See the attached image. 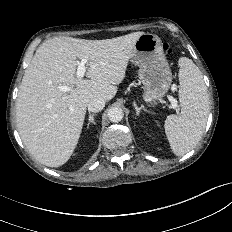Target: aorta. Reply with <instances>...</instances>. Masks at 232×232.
Returning a JSON list of instances; mask_svg holds the SVG:
<instances>
[{
	"instance_id": "obj_1",
	"label": "aorta",
	"mask_w": 232,
	"mask_h": 232,
	"mask_svg": "<svg viewBox=\"0 0 232 232\" xmlns=\"http://www.w3.org/2000/svg\"><path fill=\"white\" fill-rule=\"evenodd\" d=\"M124 113L120 107H112L108 110V118L111 122H120L123 119Z\"/></svg>"
}]
</instances>
